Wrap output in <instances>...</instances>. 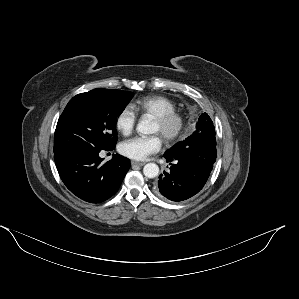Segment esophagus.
I'll use <instances>...</instances> for the list:
<instances>
[{
    "mask_svg": "<svg viewBox=\"0 0 299 299\" xmlns=\"http://www.w3.org/2000/svg\"><path fill=\"white\" fill-rule=\"evenodd\" d=\"M145 164V162H139V161H132L131 165L132 166H143Z\"/></svg>",
    "mask_w": 299,
    "mask_h": 299,
    "instance_id": "obj_1",
    "label": "esophagus"
}]
</instances>
